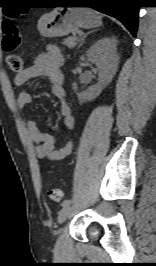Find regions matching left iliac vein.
I'll return each instance as SVG.
<instances>
[{
	"mask_svg": "<svg viewBox=\"0 0 156 266\" xmlns=\"http://www.w3.org/2000/svg\"><path fill=\"white\" fill-rule=\"evenodd\" d=\"M70 212H71L70 205L63 207L58 214V223L59 224L63 223L69 217Z\"/></svg>",
	"mask_w": 156,
	"mask_h": 266,
	"instance_id": "1",
	"label": "left iliac vein"
}]
</instances>
